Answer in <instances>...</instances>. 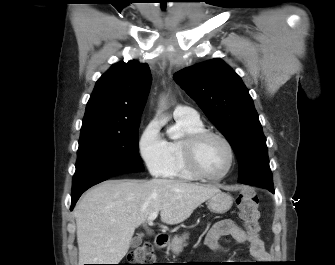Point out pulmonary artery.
Instances as JSON below:
<instances>
[{
	"instance_id": "pulmonary-artery-1",
	"label": "pulmonary artery",
	"mask_w": 335,
	"mask_h": 265,
	"mask_svg": "<svg viewBox=\"0 0 335 265\" xmlns=\"http://www.w3.org/2000/svg\"><path fill=\"white\" fill-rule=\"evenodd\" d=\"M175 119H184L189 121H199L198 112L188 106L178 105L173 112Z\"/></svg>"
}]
</instances>
